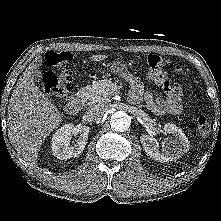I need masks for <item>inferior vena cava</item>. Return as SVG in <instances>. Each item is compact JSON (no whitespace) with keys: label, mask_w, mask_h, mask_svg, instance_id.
<instances>
[{"label":"inferior vena cava","mask_w":221,"mask_h":221,"mask_svg":"<svg viewBox=\"0 0 221 221\" xmlns=\"http://www.w3.org/2000/svg\"><path fill=\"white\" fill-rule=\"evenodd\" d=\"M108 110V106L105 104H94L87 108L85 117L89 121H100Z\"/></svg>","instance_id":"602c4592"}]
</instances>
